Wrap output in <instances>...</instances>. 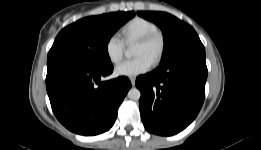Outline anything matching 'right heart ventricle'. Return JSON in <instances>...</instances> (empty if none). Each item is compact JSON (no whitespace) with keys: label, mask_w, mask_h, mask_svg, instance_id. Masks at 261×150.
<instances>
[{"label":"right heart ventricle","mask_w":261,"mask_h":150,"mask_svg":"<svg viewBox=\"0 0 261 150\" xmlns=\"http://www.w3.org/2000/svg\"><path fill=\"white\" fill-rule=\"evenodd\" d=\"M155 31H158L157 25L143 17H134L121 27V34L126 43L136 41Z\"/></svg>","instance_id":"e07e8e85"}]
</instances>
